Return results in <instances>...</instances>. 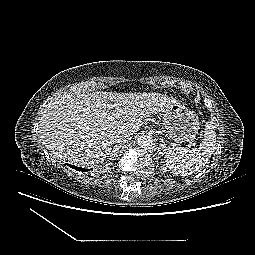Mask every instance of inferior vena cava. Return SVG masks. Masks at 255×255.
Listing matches in <instances>:
<instances>
[{
    "instance_id": "obj_1",
    "label": "inferior vena cava",
    "mask_w": 255,
    "mask_h": 255,
    "mask_svg": "<svg viewBox=\"0 0 255 255\" xmlns=\"http://www.w3.org/2000/svg\"><path fill=\"white\" fill-rule=\"evenodd\" d=\"M131 133L127 131H119L115 135V142L117 143H126L131 139Z\"/></svg>"
}]
</instances>
